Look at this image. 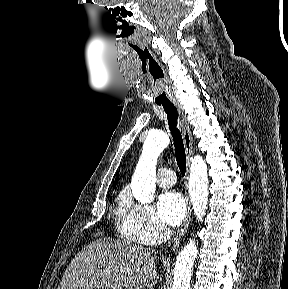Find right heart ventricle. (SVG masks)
Masks as SVG:
<instances>
[{"mask_svg": "<svg viewBox=\"0 0 288 289\" xmlns=\"http://www.w3.org/2000/svg\"><path fill=\"white\" fill-rule=\"evenodd\" d=\"M125 198L126 197L123 194L119 196L118 207H117V212H118L119 215L121 213L122 205H123V202H124Z\"/></svg>", "mask_w": 288, "mask_h": 289, "instance_id": "obj_1", "label": "right heart ventricle"}]
</instances>
